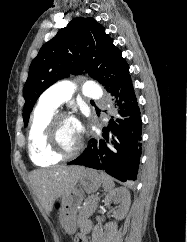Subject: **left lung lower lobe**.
Returning a JSON list of instances; mask_svg holds the SVG:
<instances>
[{
  "instance_id": "0a47b994",
  "label": "left lung lower lobe",
  "mask_w": 187,
  "mask_h": 242,
  "mask_svg": "<svg viewBox=\"0 0 187 242\" xmlns=\"http://www.w3.org/2000/svg\"><path fill=\"white\" fill-rule=\"evenodd\" d=\"M109 92L119 106L118 114L103 128L102 138H91L83 153L68 164L103 170L122 182L135 180L142 121L131 76L123 77Z\"/></svg>"
}]
</instances>
